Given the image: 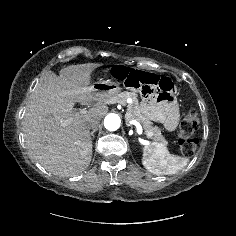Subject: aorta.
<instances>
[{
  "label": "aorta",
  "mask_w": 236,
  "mask_h": 236,
  "mask_svg": "<svg viewBox=\"0 0 236 236\" xmlns=\"http://www.w3.org/2000/svg\"><path fill=\"white\" fill-rule=\"evenodd\" d=\"M120 124L121 119L115 113L108 114L104 119V126L109 131H116L117 129H119Z\"/></svg>",
  "instance_id": "1"
}]
</instances>
